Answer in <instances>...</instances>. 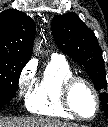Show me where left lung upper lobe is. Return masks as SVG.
Returning a JSON list of instances; mask_svg holds the SVG:
<instances>
[{
	"label": "left lung upper lobe",
	"instance_id": "obj_1",
	"mask_svg": "<svg viewBox=\"0 0 108 127\" xmlns=\"http://www.w3.org/2000/svg\"><path fill=\"white\" fill-rule=\"evenodd\" d=\"M52 33L57 46L85 67L96 89L101 92L100 100L108 116V95L104 92L107 89L104 60L93 31L72 12L53 18Z\"/></svg>",
	"mask_w": 108,
	"mask_h": 127
}]
</instances>
